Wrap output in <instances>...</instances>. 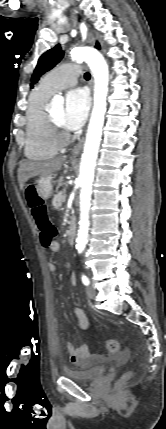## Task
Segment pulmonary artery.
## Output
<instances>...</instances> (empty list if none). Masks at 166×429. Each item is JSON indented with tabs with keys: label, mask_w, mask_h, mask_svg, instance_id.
Here are the masks:
<instances>
[{
	"label": "pulmonary artery",
	"mask_w": 166,
	"mask_h": 429,
	"mask_svg": "<svg viewBox=\"0 0 166 429\" xmlns=\"http://www.w3.org/2000/svg\"><path fill=\"white\" fill-rule=\"evenodd\" d=\"M81 73V65L77 63L65 64L47 74L42 79L40 87L54 93L73 85Z\"/></svg>",
	"instance_id": "e3ab8cb5"
}]
</instances>
